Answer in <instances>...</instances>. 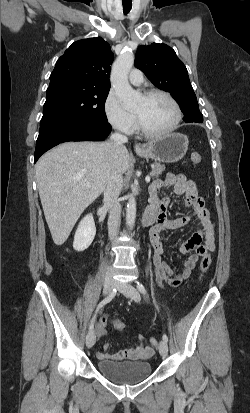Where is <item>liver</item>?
Here are the masks:
<instances>
[{
	"label": "liver",
	"instance_id": "1",
	"mask_svg": "<svg viewBox=\"0 0 250 413\" xmlns=\"http://www.w3.org/2000/svg\"><path fill=\"white\" fill-rule=\"evenodd\" d=\"M129 166L126 147L115 148L111 141L66 142L41 156L35 167L37 185L56 245L65 243L82 212L103 192L111 174L122 176Z\"/></svg>",
	"mask_w": 250,
	"mask_h": 413
}]
</instances>
